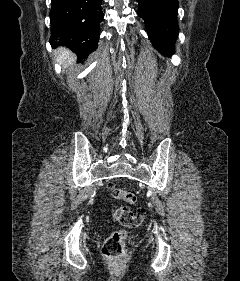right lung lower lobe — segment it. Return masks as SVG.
<instances>
[{"label":"right lung lower lobe","mask_w":240,"mask_h":281,"mask_svg":"<svg viewBox=\"0 0 240 281\" xmlns=\"http://www.w3.org/2000/svg\"><path fill=\"white\" fill-rule=\"evenodd\" d=\"M102 0H52V47L65 45L84 59L95 51L104 17Z\"/></svg>","instance_id":"right-lung-lower-lobe-1"}]
</instances>
